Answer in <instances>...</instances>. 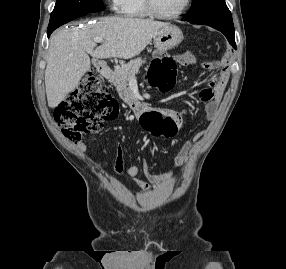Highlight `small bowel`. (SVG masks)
I'll use <instances>...</instances> for the list:
<instances>
[{
	"label": "small bowel",
	"mask_w": 286,
	"mask_h": 269,
	"mask_svg": "<svg viewBox=\"0 0 286 269\" xmlns=\"http://www.w3.org/2000/svg\"><path fill=\"white\" fill-rule=\"evenodd\" d=\"M175 60L181 66H191L198 62V56L191 51H186L184 53L176 55ZM202 67L204 69H213L214 71H218V74L212 78L210 84L201 89V91L199 92V96L201 97V99L206 102L207 120L213 121L217 115L218 106L221 101L226 83L229 79V62L226 59L215 62H204L202 63ZM116 91L117 93H127V88H117ZM122 98L132 99L133 95L123 94ZM155 109H160L161 113L164 116H168L170 121H174V126L177 128V130L183 125V118L176 112L169 110V108ZM145 114L146 113L144 112V110L132 111V116L134 120H141L142 116ZM204 135L205 131L199 132L195 136V140L200 139ZM81 147L84 148L85 145L82 144ZM190 148V142L185 143L182 150L174 157L173 164L176 166L185 164L189 160ZM124 169V149L122 145L118 144L115 149V162L113 170L115 173H121ZM126 172L135 181L136 185L144 191H147L149 189V186L145 179L152 184H160L168 177V173H154L147 169L145 179L140 178V170L135 165H129L128 167H126Z\"/></svg>",
	"instance_id": "small-bowel-1"
}]
</instances>
